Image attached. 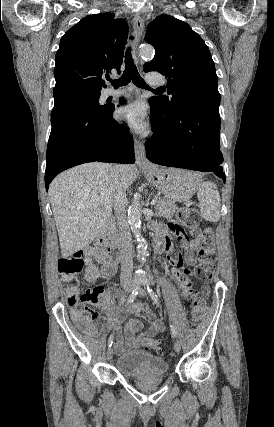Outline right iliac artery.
<instances>
[{"label": "right iliac artery", "instance_id": "1", "mask_svg": "<svg viewBox=\"0 0 274 427\" xmlns=\"http://www.w3.org/2000/svg\"><path fill=\"white\" fill-rule=\"evenodd\" d=\"M138 290H139V286L136 285V287L133 289V291L131 292V294L129 295L128 299H127V303H132L134 301V299L136 298L137 294H138ZM113 340H114V333H112L109 337L108 340V347H111L113 344Z\"/></svg>", "mask_w": 274, "mask_h": 427}]
</instances>
